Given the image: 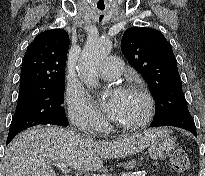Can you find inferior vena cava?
Instances as JSON below:
<instances>
[{
    "label": "inferior vena cava",
    "mask_w": 205,
    "mask_h": 176,
    "mask_svg": "<svg viewBox=\"0 0 205 176\" xmlns=\"http://www.w3.org/2000/svg\"><path fill=\"white\" fill-rule=\"evenodd\" d=\"M81 130L83 131V137L87 141H93L92 132L89 129L82 128Z\"/></svg>",
    "instance_id": "obj_1"
}]
</instances>
